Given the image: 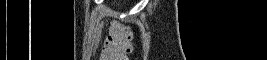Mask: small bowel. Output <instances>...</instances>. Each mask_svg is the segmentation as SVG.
<instances>
[{
	"label": "small bowel",
	"instance_id": "c3829d8e",
	"mask_svg": "<svg viewBox=\"0 0 267 60\" xmlns=\"http://www.w3.org/2000/svg\"><path fill=\"white\" fill-rule=\"evenodd\" d=\"M116 27H117V24H116V23H114V24L112 25V27H111L110 31H113V30H114Z\"/></svg>",
	"mask_w": 267,
	"mask_h": 60
}]
</instances>
